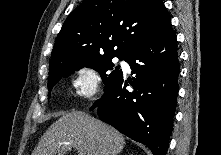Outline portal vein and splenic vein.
I'll return each instance as SVG.
<instances>
[{
	"label": "portal vein and splenic vein",
	"instance_id": "portal-vein-and-splenic-vein-1",
	"mask_svg": "<svg viewBox=\"0 0 221 155\" xmlns=\"http://www.w3.org/2000/svg\"><path fill=\"white\" fill-rule=\"evenodd\" d=\"M79 155H85L83 152H80Z\"/></svg>",
	"mask_w": 221,
	"mask_h": 155
}]
</instances>
